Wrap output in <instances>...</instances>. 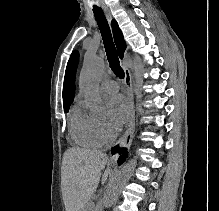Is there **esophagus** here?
Returning <instances> with one entry per match:
<instances>
[{"mask_svg":"<svg viewBox=\"0 0 219 211\" xmlns=\"http://www.w3.org/2000/svg\"><path fill=\"white\" fill-rule=\"evenodd\" d=\"M104 12L106 14V17L109 21L112 20V15L108 7L106 5H102ZM124 83L126 86V91H127V99H128V104L130 108V117L127 123V128L126 131L124 132L123 138H122V145L126 147L127 149L130 148L132 144V139H133V134H134V129H135V107H134V94H133V82H132V75L129 70V68L124 67ZM117 160V155L111 156L110 157V162L112 164H115Z\"/></svg>","mask_w":219,"mask_h":211,"instance_id":"esophagus-1","label":"esophagus"}]
</instances>
